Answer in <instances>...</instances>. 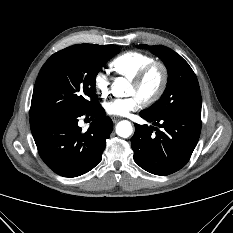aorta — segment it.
<instances>
[{
    "instance_id": "obj_1",
    "label": "aorta",
    "mask_w": 233,
    "mask_h": 233,
    "mask_svg": "<svg viewBox=\"0 0 233 233\" xmlns=\"http://www.w3.org/2000/svg\"><path fill=\"white\" fill-rule=\"evenodd\" d=\"M129 87V82L123 78V77H118L116 78V80L114 81L113 84V91L121 96L124 94V91ZM133 132V128L132 125L129 121L127 120H123L120 121L117 126H116V133L117 135H119L120 137L123 138H128Z\"/></svg>"
}]
</instances>
